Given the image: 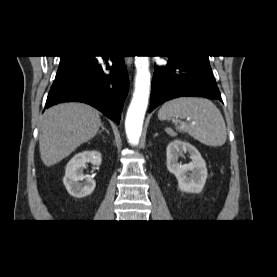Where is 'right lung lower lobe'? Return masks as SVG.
I'll return each mask as SVG.
<instances>
[{
	"instance_id": "98d812e1",
	"label": "right lung lower lobe",
	"mask_w": 277,
	"mask_h": 277,
	"mask_svg": "<svg viewBox=\"0 0 277 277\" xmlns=\"http://www.w3.org/2000/svg\"><path fill=\"white\" fill-rule=\"evenodd\" d=\"M104 60L107 57L103 56ZM113 64L91 56L84 64L55 79L46 101V108L68 101L90 104L117 124L128 92V74L123 56H110ZM109 69L110 74L104 70Z\"/></svg>"
}]
</instances>
